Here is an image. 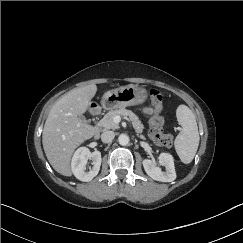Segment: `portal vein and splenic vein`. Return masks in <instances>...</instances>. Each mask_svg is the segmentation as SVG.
<instances>
[{
	"mask_svg": "<svg viewBox=\"0 0 243 243\" xmlns=\"http://www.w3.org/2000/svg\"><path fill=\"white\" fill-rule=\"evenodd\" d=\"M113 121H114V123L118 124V123L121 121L120 116H115V117L113 118Z\"/></svg>",
	"mask_w": 243,
	"mask_h": 243,
	"instance_id": "18ae733b",
	"label": "portal vein and splenic vein"
}]
</instances>
